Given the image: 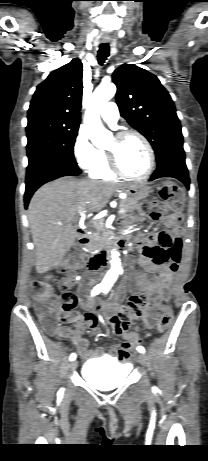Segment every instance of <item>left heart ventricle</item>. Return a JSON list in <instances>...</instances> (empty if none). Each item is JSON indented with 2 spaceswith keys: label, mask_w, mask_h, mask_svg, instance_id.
<instances>
[{
  "label": "left heart ventricle",
  "mask_w": 208,
  "mask_h": 461,
  "mask_svg": "<svg viewBox=\"0 0 208 461\" xmlns=\"http://www.w3.org/2000/svg\"><path fill=\"white\" fill-rule=\"evenodd\" d=\"M107 150L115 151L122 170L132 176L143 175L149 165V156L144 144L135 136L118 142L113 138Z\"/></svg>",
  "instance_id": "obj_1"
}]
</instances>
